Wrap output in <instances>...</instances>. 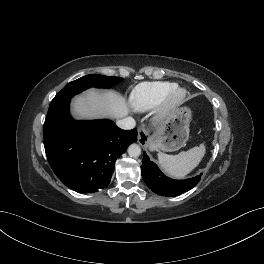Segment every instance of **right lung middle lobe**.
I'll return each instance as SVG.
<instances>
[{"mask_svg":"<svg viewBox=\"0 0 264 264\" xmlns=\"http://www.w3.org/2000/svg\"><path fill=\"white\" fill-rule=\"evenodd\" d=\"M120 77H110L99 74H92L81 77L75 81L68 83L51 101L48 113L56 110L63 103L69 101L75 94L94 86L97 88H109L110 86L120 82Z\"/></svg>","mask_w":264,"mask_h":264,"instance_id":"dd1d6c3e","label":"right lung middle lobe"}]
</instances>
